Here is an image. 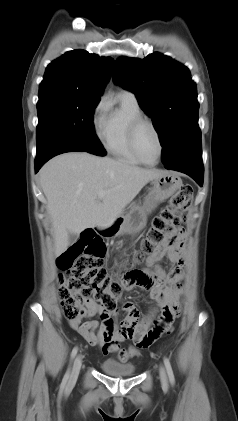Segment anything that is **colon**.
I'll list each match as a JSON object with an SVG mask.
<instances>
[{"mask_svg":"<svg viewBox=\"0 0 238 421\" xmlns=\"http://www.w3.org/2000/svg\"><path fill=\"white\" fill-rule=\"evenodd\" d=\"M192 198L190 185H183L172 196L169 205L153 219L142 242L141 251L136 256L137 260L145 255L152 256L159 247L168 242L172 233L184 232L182 225L188 218ZM104 255L105 246L102 239L92 231H87L77 243L57 258V265L63 272L59 278L58 294L64 316L68 320L79 318L84 312V304L92 301L104 308L102 319L112 323L108 311L116 308L117 300L122 290L129 287V282L126 275L117 277L107 272L103 266ZM172 328V322L163 325L158 331L150 334L144 343L156 341ZM117 351L122 362L138 354L136 348H119Z\"/></svg>","mask_w":238,"mask_h":421,"instance_id":"5ec220e1","label":"colon"}]
</instances>
